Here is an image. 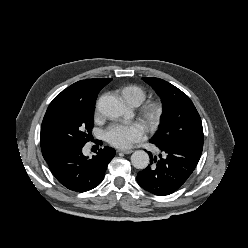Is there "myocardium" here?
Masks as SVG:
<instances>
[{
  "label": "myocardium",
  "instance_id": "1",
  "mask_svg": "<svg viewBox=\"0 0 248 248\" xmlns=\"http://www.w3.org/2000/svg\"><path fill=\"white\" fill-rule=\"evenodd\" d=\"M140 114L151 128H155L162 118L163 106L159 101H148L142 106Z\"/></svg>",
  "mask_w": 248,
  "mask_h": 248
}]
</instances>
